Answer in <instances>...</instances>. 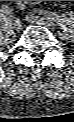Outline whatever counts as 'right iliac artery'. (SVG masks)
Instances as JSON below:
<instances>
[{
	"mask_svg": "<svg viewBox=\"0 0 74 122\" xmlns=\"http://www.w3.org/2000/svg\"><path fill=\"white\" fill-rule=\"evenodd\" d=\"M1 11L5 14H10L12 12V7L9 5H3Z\"/></svg>",
	"mask_w": 74,
	"mask_h": 122,
	"instance_id": "right-iliac-artery-1",
	"label": "right iliac artery"
}]
</instances>
